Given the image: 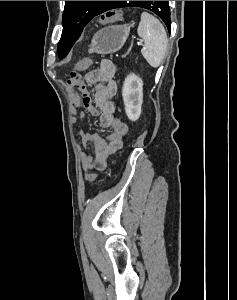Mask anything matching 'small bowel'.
Wrapping results in <instances>:
<instances>
[{
    "instance_id": "c3829d8e",
    "label": "small bowel",
    "mask_w": 237,
    "mask_h": 300,
    "mask_svg": "<svg viewBox=\"0 0 237 300\" xmlns=\"http://www.w3.org/2000/svg\"><path fill=\"white\" fill-rule=\"evenodd\" d=\"M115 74V63L109 59L102 60L97 69L88 72L84 78H80V83L76 87L81 95L72 93L71 96L75 107L82 106L84 108V111L80 113L81 117L88 113L98 117L102 126L111 129V134L106 137L80 131L81 143L85 149L80 156L85 171L92 168L99 171L106 169L109 157L122 148L124 138L128 133V125L115 115L117 109L114 100L117 92ZM87 85L94 87L93 96L89 94ZM76 121L75 116L72 123ZM89 143L94 146V155L87 151Z\"/></svg>"
}]
</instances>
